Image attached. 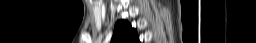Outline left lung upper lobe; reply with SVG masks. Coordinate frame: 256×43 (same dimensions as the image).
I'll return each mask as SVG.
<instances>
[{"mask_svg": "<svg viewBox=\"0 0 256 43\" xmlns=\"http://www.w3.org/2000/svg\"><path fill=\"white\" fill-rule=\"evenodd\" d=\"M111 43H139V37L128 21L119 20L115 24Z\"/></svg>", "mask_w": 256, "mask_h": 43, "instance_id": "5c2ea615", "label": "left lung upper lobe"}]
</instances>
